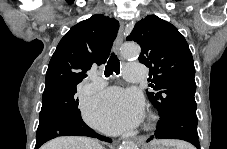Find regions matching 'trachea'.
I'll return each mask as SVG.
<instances>
[{
    "instance_id": "3493384b",
    "label": "trachea",
    "mask_w": 227,
    "mask_h": 149,
    "mask_svg": "<svg viewBox=\"0 0 227 149\" xmlns=\"http://www.w3.org/2000/svg\"><path fill=\"white\" fill-rule=\"evenodd\" d=\"M113 72H115L116 74L120 73V62L118 57L112 53L107 65L105 66V71L104 74L106 77H109Z\"/></svg>"
}]
</instances>
